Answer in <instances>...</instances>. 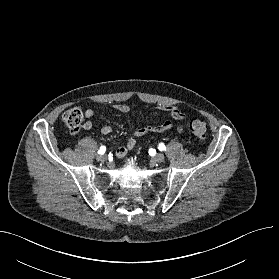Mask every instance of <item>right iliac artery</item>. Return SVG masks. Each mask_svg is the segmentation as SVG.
<instances>
[{"instance_id":"right-iliac-artery-1","label":"right iliac artery","mask_w":279,"mask_h":279,"mask_svg":"<svg viewBox=\"0 0 279 279\" xmlns=\"http://www.w3.org/2000/svg\"><path fill=\"white\" fill-rule=\"evenodd\" d=\"M106 151V147L105 146H101L99 151H98V154H104Z\"/></svg>"}]
</instances>
